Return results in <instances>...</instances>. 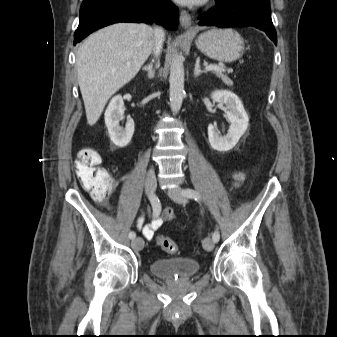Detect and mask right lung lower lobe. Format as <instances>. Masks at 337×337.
<instances>
[{"label":"right lung lower lobe","instance_id":"1","mask_svg":"<svg viewBox=\"0 0 337 337\" xmlns=\"http://www.w3.org/2000/svg\"><path fill=\"white\" fill-rule=\"evenodd\" d=\"M178 16V8L170 0H84L74 45L90 33L118 22H156L176 30Z\"/></svg>","mask_w":337,"mask_h":337}]
</instances>
